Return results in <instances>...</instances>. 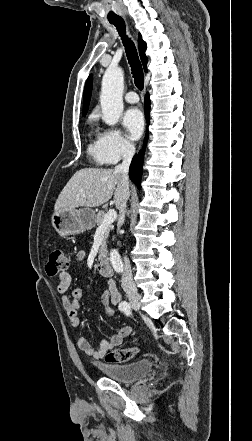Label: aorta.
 I'll return each mask as SVG.
<instances>
[{
  "mask_svg": "<svg viewBox=\"0 0 252 441\" xmlns=\"http://www.w3.org/2000/svg\"><path fill=\"white\" fill-rule=\"evenodd\" d=\"M124 73L121 68H108L102 79L100 103L102 120L115 125L123 112ZM110 262L116 272L123 271V263L116 249L110 252Z\"/></svg>",
  "mask_w": 252,
  "mask_h": 441,
  "instance_id": "1",
  "label": "aorta"
}]
</instances>
